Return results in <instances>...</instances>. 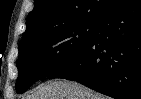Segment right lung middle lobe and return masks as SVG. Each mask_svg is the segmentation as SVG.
<instances>
[{
    "label": "right lung middle lobe",
    "instance_id": "1",
    "mask_svg": "<svg viewBox=\"0 0 141 99\" xmlns=\"http://www.w3.org/2000/svg\"><path fill=\"white\" fill-rule=\"evenodd\" d=\"M97 21H83L19 44L17 93L67 65L93 38Z\"/></svg>",
    "mask_w": 141,
    "mask_h": 99
}]
</instances>
